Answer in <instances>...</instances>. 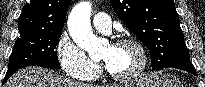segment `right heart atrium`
<instances>
[{"label": "right heart atrium", "instance_id": "obj_1", "mask_svg": "<svg viewBox=\"0 0 205 87\" xmlns=\"http://www.w3.org/2000/svg\"><path fill=\"white\" fill-rule=\"evenodd\" d=\"M56 56L63 71L72 78L91 80L99 68L68 33H62L56 44Z\"/></svg>", "mask_w": 205, "mask_h": 87}]
</instances>
